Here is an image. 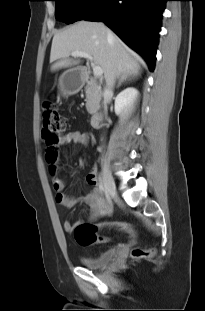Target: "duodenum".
Masks as SVG:
<instances>
[{"label": "duodenum", "instance_id": "duodenum-1", "mask_svg": "<svg viewBox=\"0 0 205 311\" xmlns=\"http://www.w3.org/2000/svg\"><path fill=\"white\" fill-rule=\"evenodd\" d=\"M79 74H80L83 82H88V81L91 82L92 81V77L89 75L87 68H84V67L81 68L79 70ZM101 120H102V114L99 112H96L91 116L90 123L93 127H96L99 125Z\"/></svg>", "mask_w": 205, "mask_h": 311}]
</instances>
